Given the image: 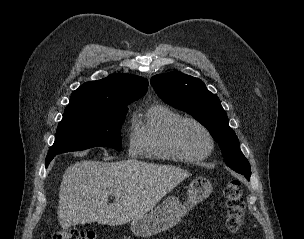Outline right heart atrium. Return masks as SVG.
Returning a JSON list of instances; mask_svg holds the SVG:
<instances>
[{
  "instance_id": "1",
  "label": "right heart atrium",
  "mask_w": 304,
  "mask_h": 239,
  "mask_svg": "<svg viewBox=\"0 0 304 239\" xmlns=\"http://www.w3.org/2000/svg\"><path fill=\"white\" fill-rule=\"evenodd\" d=\"M128 148L131 153H138L140 149V138L134 125H132L128 132Z\"/></svg>"
}]
</instances>
